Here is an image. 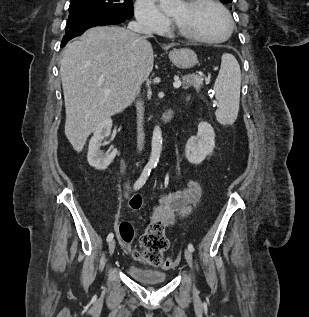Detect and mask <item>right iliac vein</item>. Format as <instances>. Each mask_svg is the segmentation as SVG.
Returning <instances> with one entry per match:
<instances>
[{"instance_id": "obj_1", "label": "right iliac vein", "mask_w": 309, "mask_h": 317, "mask_svg": "<svg viewBox=\"0 0 309 317\" xmlns=\"http://www.w3.org/2000/svg\"><path fill=\"white\" fill-rule=\"evenodd\" d=\"M115 246H116V242L115 240H111L109 242V245H108V251H109V254L112 255L114 253V250H115Z\"/></svg>"}]
</instances>
